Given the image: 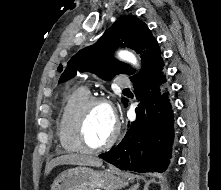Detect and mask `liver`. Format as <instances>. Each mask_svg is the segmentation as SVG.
Here are the masks:
<instances>
[{"label": "liver", "instance_id": "liver-1", "mask_svg": "<svg viewBox=\"0 0 221 190\" xmlns=\"http://www.w3.org/2000/svg\"><path fill=\"white\" fill-rule=\"evenodd\" d=\"M102 159L92 155L85 154H65L52 159L46 165V174H49L52 169L59 165H83V166H102Z\"/></svg>", "mask_w": 221, "mask_h": 190}]
</instances>
